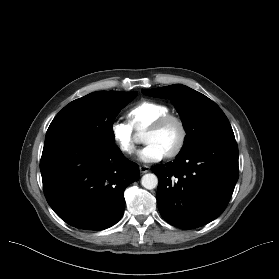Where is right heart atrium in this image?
Here are the masks:
<instances>
[{
    "instance_id": "right-heart-atrium-1",
    "label": "right heart atrium",
    "mask_w": 279,
    "mask_h": 279,
    "mask_svg": "<svg viewBox=\"0 0 279 279\" xmlns=\"http://www.w3.org/2000/svg\"><path fill=\"white\" fill-rule=\"evenodd\" d=\"M110 130L113 141L122 153L132 154L135 151L137 141L129 124L123 121H114Z\"/></svg>"
}]
</instances>
